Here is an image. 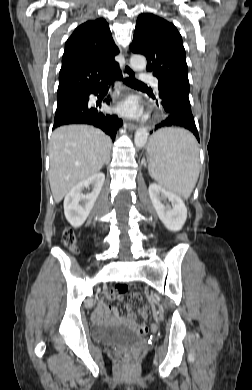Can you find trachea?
<instances>
[{"label": "trachea", "instance_id": "trachea-1", "mask_svg": "<svg viewBox=\"0 0 252 390\" xmlns=\"http://www.w3.org/2000/svg\"><path fill=\"white\" fill-rule=\"evenodd\" d=\"M124 83L127 84L128 86H132V87L146 86L144 83L139 82L138 80H136L134 78H129V77L124 79Z\"/></svg>", "mask_w": 252, "mask_h": 390}]
</instances>
